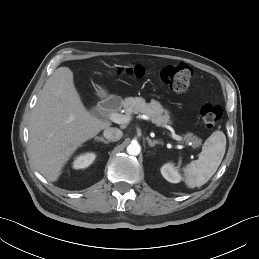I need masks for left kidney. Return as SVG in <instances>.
Wrapping results in <instances>:
<instances>
[{
	"mask_svg": "<svg viewBox=\"0 0 259 259\" xmlns=\"http://www.w3.org/2000/svg\"><path fill=\"white\" fill-rule=\"evenodd\" d=\"M162 176L171 183H179L182 180L181 175L173 164L167 163L161 167Z\"/></svg>",
	"mask_w": 259,
	"mask_h": 259,
	"instance_id": "left-kidney-1",
	"label": "left kidney"
}]
</instances>
